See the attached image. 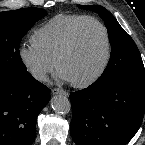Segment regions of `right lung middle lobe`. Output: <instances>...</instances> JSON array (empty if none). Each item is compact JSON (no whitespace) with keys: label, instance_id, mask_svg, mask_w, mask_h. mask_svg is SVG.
<instances>
[{"label":"right lung middle lobe","instance_id":"dd1d6c3e","mask_svg":"<svg viewBox=\"0 0 145 145\" xmlns=\"http://www.w3.org/2000/svg\"><path fill=\"white\" fill-rule=\"evenodd\" d=\"M46 14L41 8L0 12V81L19 79L28 73L19 45L34 23Z\"/></svg>","mask_w":145,"mask_h":145}]
</instances>
